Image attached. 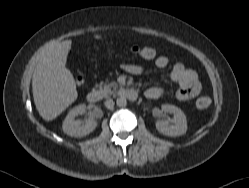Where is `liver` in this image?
Segmentation results:
<instances>
[{
	"label": "liver",
	"instance_id": "obj_1",
	"mask_svg": "<svg viewBox=\"0 0 249 188\" xmlns=\"http://www.w3.org/2000/svg\"><path fill=\"white\" fill-rule=\"evenodd\" d=\"M100 39V35H94ZM72 41L65 40L49 47L33 73L32 92L40 116L51 121L59 116L78 97L76 83L66 68Z\"/></svg>",
	"mask_w": 249,
	"mask_h": 188
}]
</instances>
